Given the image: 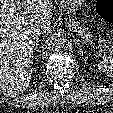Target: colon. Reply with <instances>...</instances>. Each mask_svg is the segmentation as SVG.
I'll return each mask as SVG.
<instances>
[{
  "mask_svg": "<svg viewBox=\"0 0 113 113\" xmlns=\"http://www.w3.org/2000/svg\"><path fill=\"white\" fill-rule=\"evenodd\" d=\"M98 15L109 23H113V0H97Z\"/></svg>",
  "mask_w": 113,
  "mask_h": 113,
  "instance_id": "obj_1",
  "label": "colon"
}]
</instances>
